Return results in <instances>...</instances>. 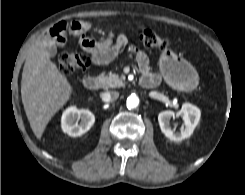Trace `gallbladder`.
<instances>
[{
    "label": "gallbladder",
    "instance_id": "obj_1",
    "mask_svg": "<svg viewBox=\"0 0 245 195\" xmlns=\"http://www.w3.org/2000/svg\"><path fill=\"white\" fill-rule=\"evenodd\" d=\"M49 54H50V56H55V54H56V49H55L54 47L49 48Z\"/></svg>",
    "mask_w": 245,
    "mask_h": 195
}]
</instances>
